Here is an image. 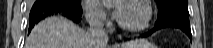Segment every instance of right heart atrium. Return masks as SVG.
Returning a JSON list of instances; mask_svg holds the SVG:
<instances>
[{"label":"right heart atrium","instance_id":"obj_1","mask_svg":"<svg viewBox=\"0 0 213 48\" xmlns=\"http://www.w3.org/2000/svg\"><path fill=\"white\" fill-rule=\"evenodd\" d=\"M85 13L88 22L94 27H104L109 21L107 13L103 10L97 1H86Z\"/></svg>","mask_w":213,"mask_h":48}]
</instances>
